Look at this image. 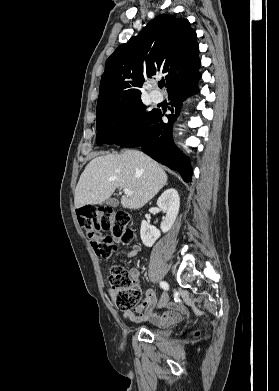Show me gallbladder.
I'll return each instance as SVG.
<instances>
[{
    "label": "gallbladder",
    "mask_w": 279,
    "mask_h": 391,
    "mask_svg": "<svg viewBox=\"0 0 279 391\" xmlns=\"http://www.w3.org/2000/svg\"><path fill=\"white\" fill-rule=\"evenodd\" d=\"M106 204L110 205L112 207H117L119 202H118V200L116 198H109V199L106 200Z\"/></svg>",
    "instance_id": "gallbladder-1"
}]
</instances>
